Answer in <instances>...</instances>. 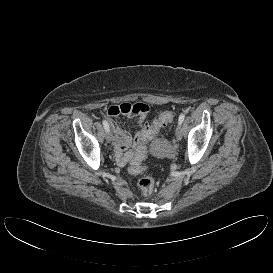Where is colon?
Instances as JSON below:
<instances>
[{"label": "colon", "mask_w": 273, "mask_h": 273, "mask_svg": "<svg viewBox=\"0 0 273 273\" xmlns=\"http://www.w3.org/2000/svg\"><path fill=\"white\" fill-rule=\"evenodd\" d=\"M174 120V113L170 110L162 111L152 124L146 125L142 130V140L136 146L129 164V172L132 175H140L146 170L145 159L147 154V143L151 141L158 132ZM138 187L143 196H150L155 187V180L151 176H142L138 180Z\"/></svg>", "instance_id": "5ec220e1"}]
</instances>
